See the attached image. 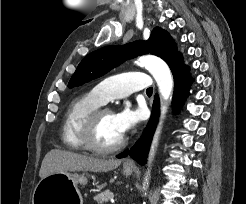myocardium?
Wrapping results in <instances>:
<instances>
[{
	"mask_svg": "<svg viewBox=\"0 0 246 204\" xmlns=\"http://www.w3.org/2000/svg\"><path fill=\"white\" fill-rule=\"evenodd\" d=\"M111 113L112 111L109 108H97L91 112L88 117L85 119L81 131L80 137L84 147L87 150H90L99 154H109L120 150L125 146L127 139L123 136L117 143L111 146H102L99 145L95 140V131L98 125L100 118L106 114Z\"/></svg>",
	"mask_w": 246,
	"mask_h": 204,
	"instance_id": "1",
	"label": "myocardium"
}]
</instances>
